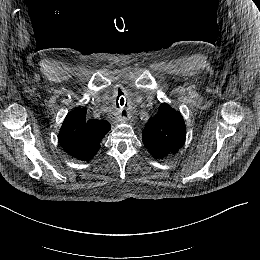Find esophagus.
Masks as SVG:
<instances>
[{"instance_id":"1","label":"esophagus","mask_w":260,"mask_h":260,"mask_svg":"<svg viewBox=\"0 0 260 260\" xmlns=\"http://www.w3.org/2000/svg\"><path fill=\"white\" fill-rule=\"evenodd\" d=\"M119 120L128 121V118L127 117H123V118H120Z\"/></svg>"}]
</instances>
